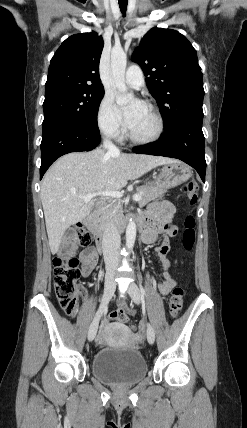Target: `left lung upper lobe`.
<instances>
[{
	"instance_id": "obj_1",
	"label": "left lung upper lobe",
	"mask_w": 247,
	"mask_h": 428,
	"mask_svg": "<svg viewBox=\"0 0 247 428\" xmlns=\"http://www.w3.org/2000/svg\"><path fill=\"white\" fill-rule=\"evenodd\" d=\"M166 127L183 119H203L204 88L196 50L175 30L152 28L133 53Z\"/></svg>"
}]
</instances>
